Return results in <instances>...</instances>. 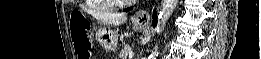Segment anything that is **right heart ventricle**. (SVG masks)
Here are the masks:
<instances>
[{
	"instance_id": "right-heart-ventricle-1",
	"label": "right heart ventricle",
	"mask_w": 261,
	"mask_h": 59,
	"mask_svg": "<svg viewBox=\"0 0 261 59\" xmlns=\"http://www.w3.org/2000/svg\"><path fill=\"white\" fill-rule=\"evenodd\" d=\"M98 2L102 4V1H98ZM107 6H108V8H112L111 5H107Z\"/></svg>"
}]
</instances>
